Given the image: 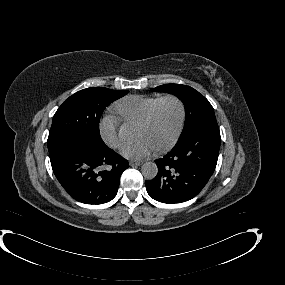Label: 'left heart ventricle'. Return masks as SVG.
<instances>
[{
  "label": "left heart ventricle",
  "instance_id": "obj_1",
  "mask_svg": "<svg viewBox=\"0 0 285 285\" xmlns=\"http://www.w3.org/2000/svg\"><path fill=\"white\" fill-rule=\"evenodd\" d=\"M179 118V105L174 101L165 102L157 120L147 129H139L138 136L149 140L153 145L165 142L176 128Z\"/></svg>",
  "mask_w": 285,
  "mask_h": 285
}]
</instances>
